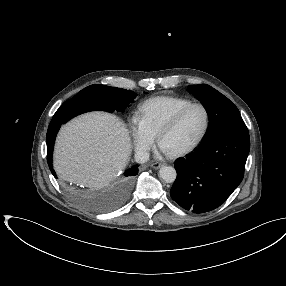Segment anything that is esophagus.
Segmentation results:
<instances>
[{
    "mask_svg": "<svg viewBox=\"0 0 286 286\" xmlns=\"http://www.w3.org/2000/svg\"><path fill=\"white\" fill-rule=\"evenodd\" d=\"M162 166H164V164H163V163H160V162H153V163L151 164V167H152L153 169H159V168H161Z\"/></svg>",
    "mask_w": 286,
    "mask_h": 286,
    "instance_id": "esophagus-1",
    "label": "esophagus"
}]
</instances>
